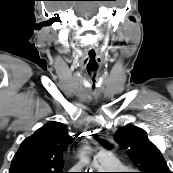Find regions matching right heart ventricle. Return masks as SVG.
I'll list each match as a JSON object with an SVG mask.
<instances>
[{
	"label": "right heart ventricle",
	"mask_w": 173,
	"mask_h": 173,
	"mask_svg": "<svg viewBox=\"0 0 173 173\" xmlns=\"http://www.w3.org/2000/svg\"><path fill=\"white\" fill-rule=\"evenodd\" d=\"M107 168L116 169L117 171H123L125 169L124 165L114 157L112 161V166Z\"/></svg>",
	"instance_id": "1"
}]
</instances>
